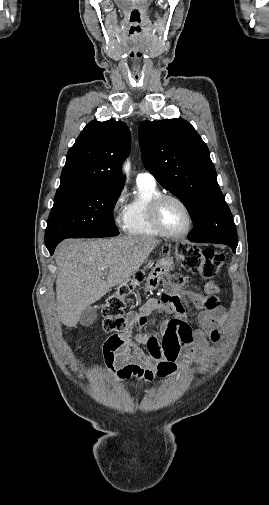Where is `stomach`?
<instances>
[{"instance_id":"1","label":"stomach","mask_w":269,"mask_h":505,"mask_svg":"<svg viewBox=\"0 0 269 505\" xmlns=\"http://www.w3.org/2000/svg\"><path fill=\"white\" fill-rule=\"evenodd\" d=\"M173 258H163L159 260L148 274L146 280V289L149 291L159 287L161 280L173 269Z\"/></svg>"}]
</instances>
